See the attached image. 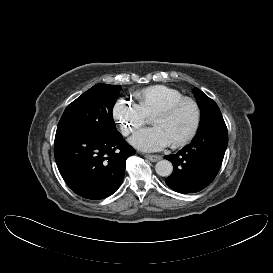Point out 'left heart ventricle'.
I'll return each instance as SVG.
<instances>
[{
	"mask_svg": "<svg viewBox=\"0 0 273 273\" xmlns=\"http://www.w3.org/2000/svg\"><path fill=\"white\" fill-rule=\"evenodd\" d=\"M196 112L192 104L183 103L173 113L164 119H158L153 124L161 130L170 144L184 140L192 131Z\"/></svg>",
	"mask_w": 273,
	"mask_h": 273,
	"instance_id": "1",
	"label": "left heart ventricle"
}]
</instances>
